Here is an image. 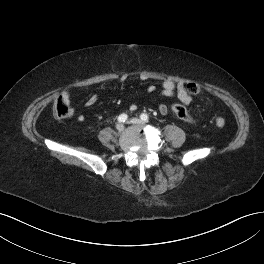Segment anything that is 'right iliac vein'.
<instances>
[{
	"label": "right iliac vein",
	"instance_id": "obj_1",
	"mask_svg": "<svg viewBox=\"0 0 264 264\" xmlns=\"http://www.w3.org/2000/svg\"><path fill=\"white\" fill-rule=\"evenodd\" d=\"M116 129H117V131L122 132L124 130V125L119 123L116 125Z\"/></svg>",
	"mask_w": 264,
	"mask_h": 264
}]
</instances>
